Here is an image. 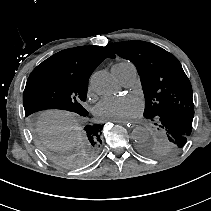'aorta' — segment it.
Wrapping results in <instances>:
<instances>
[{
    "label": "aorta",
    "mask_w": 211,
    "mask_h": 211,
    "mask_svg": "<svg viewBox=\"0 0 211 211\" xmlns=\"http://www.w3.org/2000/svg\"><path fill=\"white\" fill-rule=\"evenodd\" d=\"M91 85L94 91L101 95L114 93L117 84L114 77L107 71H97L91 77ZM132 139L139 143L149 138L148 130L143 126H137L132 131Z\"/></svg>",
    "instance_id": "obj_1"
}]
</instances>
